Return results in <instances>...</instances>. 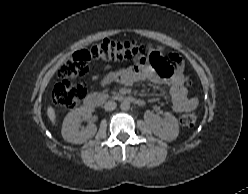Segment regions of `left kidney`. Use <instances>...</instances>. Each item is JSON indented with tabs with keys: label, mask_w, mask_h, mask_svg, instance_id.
Wrapping results in <instances>:
<instances>
[{
	"label": "left kidney",
	"mask_w": 248,
	"mask_h": 194,
	"mask_svg": "<svg viewBox=\"0 0 248 194\" xmlns=\"http://www.w3.org/2000/svg\"><path fill=\"white\" fill-rule=\"evenodd\" d=\"M151 130L154 135L170 142L176 139L179 134V123L172 114L166 113L164 120L153 124Z\"/></svg>",
	"instance_id": "1"
}]
</instances>
